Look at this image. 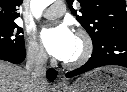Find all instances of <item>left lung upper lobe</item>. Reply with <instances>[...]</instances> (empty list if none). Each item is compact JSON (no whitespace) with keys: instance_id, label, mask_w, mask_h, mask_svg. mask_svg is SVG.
I'll list each match as a JSON object with an SVG mask.
<instances>
[{"instance_id":"left-lung-upper-lobe-1","label":"left lung upper lobe","mask_w":127,"mask_h":92,"mask_svg":"<svg viewBox=\"0 0 127 92\" xmlns=\"http://www.w3.org/2000/svg\"><path fill=\"white\" fill-rule=\"evenodd\" d=\"M74 0H67L71 11L76 15L72 4ZM81 16L76 15L79 23L90 35L93 46L105 37H127V12L124 0H79Z\"/></svg>"}]
</instances>
